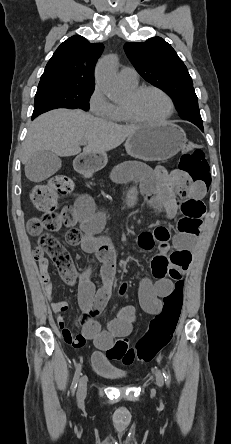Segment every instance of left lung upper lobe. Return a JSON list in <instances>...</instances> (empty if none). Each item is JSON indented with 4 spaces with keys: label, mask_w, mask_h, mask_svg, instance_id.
<instances>
[{
    "label": "left lung upper lobe",
    "mask_w": 231,
    "mask_h": 444,
    "mask_svg": "<svg viewBox=\"0 0 231 444\" xmlns=\"http://www.w3.org/2000/svg\"><path fill=\"white\" fill-rule=\"evenodd\" d=\"M125 51L138 73L169 94L183 119L203 124L191 76L175 50L161 37L128 42Z\"/></svg>",
    "instance_id": "left-lung-upper-lobe-1"
}]
</instances>
